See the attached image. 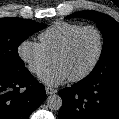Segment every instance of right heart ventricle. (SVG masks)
Listing matches in <instances>:
<instances>
[{"label":"right heart ventricle","mask_w":119,"mask_h":119,"mask_svg":"<svg viewBox=\"0 0 119 119\" xmlns=\"http://www.w3.org/2000/svg\"><path fill=\"white\" fill-rule=\"evenodd\" d=\"M81 27L83 26L71 22H55L39 35L40 44L45 52L53 59L68 38Z\"/></svg>","instance_id":"right-heart-ventricle-1"}]
</instances>
